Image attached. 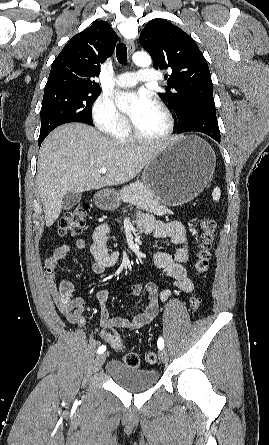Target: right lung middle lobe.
Here are the masks:
<instances>
[{
    "label": "right lung middle lobe",
    "instance_id": "1",
    "mask_svg": "<svg viewBox=\"0 0 269 445\" xmlns=\"http://www.w3.org/2000/svg\"><path fill=\"white\" fill-rule=\"evenodd\" d=\"M100 91L55 90L44 92L39 145L50 131L68 122H82L93 125L91 106Z\"/></svg>",
    "mask_w": 269,
    "mask_h": 445
}]
</instances>
